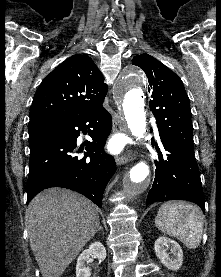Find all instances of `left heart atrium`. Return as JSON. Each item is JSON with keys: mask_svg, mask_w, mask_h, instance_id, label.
Listing matches in <instances>:
<instances>
[{"mask_svg": "<svg viewBox=\"0 0 221 277\" xmlns=\"http://www.w3.org/2000/svg\"><path fill=\"white\" fill-rule=\"evenodd\" d=\"M123 146H124V142L119 137H115V138L111 139V141L109 142V145H108L110 151L113 153L120 152L122 150Z\"/></svg>", "mask_w": 221, "mask_h": 277, "instance_id": "39dd6f15", "label": "left heart atrium"}]
</instances>
